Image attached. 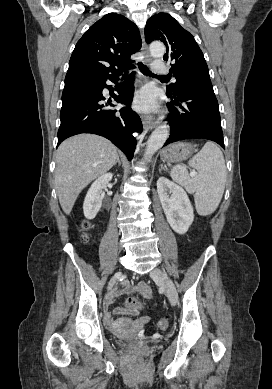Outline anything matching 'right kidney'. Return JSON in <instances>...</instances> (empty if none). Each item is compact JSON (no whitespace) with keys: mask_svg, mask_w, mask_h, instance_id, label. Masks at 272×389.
I'll use <instances>...</instances> for the list:
<instances>
[{"mask_svg":"<svg viewBox=\"0 0 272 389\" xmlns=\"http://www.w3.org/2000/svg\"><path fill=\"white\" fill-rule=\"evenodd\" d=\"M112 177V173H107L100 176L92 183L83 204L84 216L87 219H94L99 212L103 199L101 196L102 188L112 179Z\"/></svg>","mask_w":272,"mask_h":389,"instance_id":"ca27d5eb","label":"right kidney"}]
</instances>
